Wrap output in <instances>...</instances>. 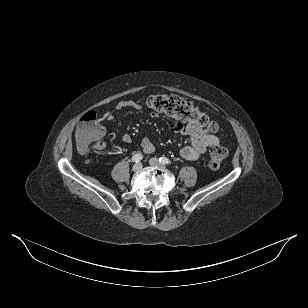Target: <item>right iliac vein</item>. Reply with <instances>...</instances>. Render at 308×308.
<instances>
[{
	"label": "right iliac vein",
	"mask_w": 308,
	"mask_h": 308,
	"mask_svg": "<svg viewBox=\"0 0 308 308\" xmlns=\"http://www.w3.org/2000/svg\"><path fill=\"white\" fill-rule=\"evenodd\" d=\"M141 169H142V164H141V163H136V164H134L133 167H132V170H133L134 172H139V171H141Z\"/></svg>",
	"instance_id": "obj_1"
}]
</instances>
